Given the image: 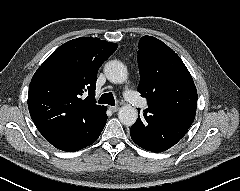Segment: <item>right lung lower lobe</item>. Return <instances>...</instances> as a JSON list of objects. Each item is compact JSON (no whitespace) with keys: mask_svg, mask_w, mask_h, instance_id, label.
<instances>
[{"mask_svg":"<svg viewBox=\"0 0 240 191\" xmlns=\"http://www.w3.org/2000/svg\"><path fill=\"white\" fill-rule=\"evenodd\" d=\"M106 109L100 118L91 124L79 129L56 130L44 135V138L54 147L63 151L74 152L83 149L98 139L107 121Z\"/></svg>","mask_w":240,"mask_h":191,"instance_id":"right-lung-lower-lobe-1","label":"right lung lower lobe"}]
</instances>
